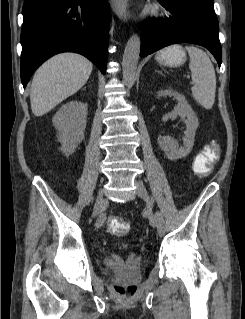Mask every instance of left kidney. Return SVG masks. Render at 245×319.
<instances>
[{
    "instance_id": "5707ae66",
    "label": "left kidney",
    "mask_w": 245,
    "mask_h": 319,
    "mask_svg": "<svg viewBox=\"0 0 245 319\" xmlns=\"http://www.w3.org/2000/svg\"><path fill=\"white\" fill-rule=\"evenodd\" d=\"M163 95L173 96L178 101L174 110L163 116V121L179 116L185 120L186 124L182 147H179L178 142L170 136H160L158 138L159 145L165 151L167 157L171 160H177L186 157L191 152L199 122L196 114L188 104L184 95L170 89L157 92V97H161Z\"/></svg>"
}]
</instances>
